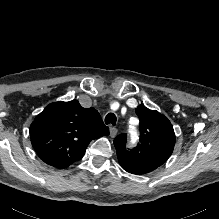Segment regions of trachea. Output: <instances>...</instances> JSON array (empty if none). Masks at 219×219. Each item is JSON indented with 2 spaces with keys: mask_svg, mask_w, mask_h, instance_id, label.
Listing matches in <instances>:
<instances>
[{
  "mask_svg": "<svg viewBox=\"0 0 219 219\" xmlns=\"http://www.w3.org/2000/svg\"><path fill=\"white\" fill-rule=\"evenodd\" d=\"M117 118L115 114L113 113H108L105 117V123L106 124H112L113 126L116 124Z\"/></svg>",
  "mask_w": 219,
  "mask_h": 219,
  "instance_id": "3493384b",
  "label": "trachea"
}]
</instances>
